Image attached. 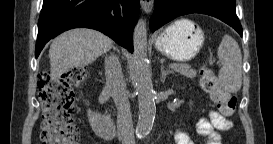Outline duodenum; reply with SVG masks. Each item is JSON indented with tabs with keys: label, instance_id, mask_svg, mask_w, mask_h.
<instances>
[{
	"label": "duodenum",
	"instance_id": "1",
	"mask_svg": "<svg viewBox=\"0 0 273 144\" xmlns=\"http://www.w3.org/2000/svg\"><path fill=\"white\" fill-rule=\"evenodd\" d=\"M88 120L91 128L99 137L106 140H111L116 137L117 130L113 120L99 109H91Z\"/></svg>",
	"mask_w": 273,
	"mask_h": 144
}]
</instances>
